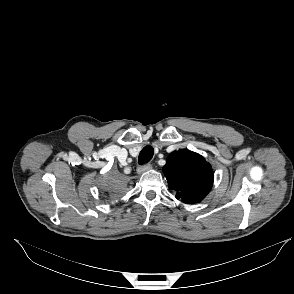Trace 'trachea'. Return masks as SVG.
<instances>
[{"label": "trachea", "mask_w": 294, "mask_h": 294, "mask_svg": "<svg viewBox=\"0 0 294 294\" xmlns=\"http://www.w3.org/2000/svg\"><path fill=\"white\" fill-rule=\"evenodd\" d=\"M153 154H154L153 147L145 146L139 154V157H138L139 164L142 165V164L148 163L152 159Z\"/></svg>", "instance_id": "1"}]
</instances>
